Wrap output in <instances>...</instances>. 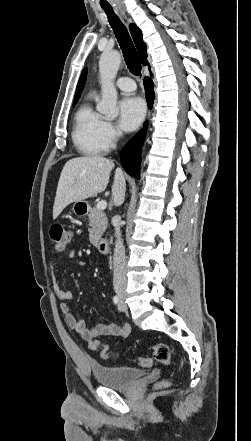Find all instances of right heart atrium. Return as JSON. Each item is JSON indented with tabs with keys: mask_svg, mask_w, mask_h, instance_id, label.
<instances>
[{
	"mask_svg": "<svg viewBox=\"0 0 251 441\" xmlns=\"http://www.w3.org/2000/svg\"><path fill=\"white\" fill-rule=\"evenodd\" d=\"M104 133L110 144H112L117 136V130L111 122L105 121Z\"/></svg>",
	"mask_w": 251,
	"mask_h": 441,
	"instance_id": "right-heart-atrium-1",
	"label": "right heart atrium"
}]
</instances>
